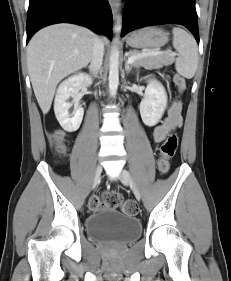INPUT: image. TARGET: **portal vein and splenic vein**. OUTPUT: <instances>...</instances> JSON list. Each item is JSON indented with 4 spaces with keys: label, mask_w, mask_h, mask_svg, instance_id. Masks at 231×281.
<instances>
[{
    "label": "portal vein and splenic vein",
    "mask_w": 231,
    "mask_h": 281,
    "mask_svg": "<svg viewBox=\"0 0 231 281\" xmlns=\"http://www.w3.org/2000/svg\"><path fill=\"white\" fill-rule=\"evenodd\" d=\"M163 52L162 51H148V52H144V53H141V54H138V55H135V56H131L128 58V63L129 64H132L134 63L137 59H140V58H143V57H148V56H156V55H160L162 54ZM168 54L172 55V56H175L176 53L174 52H170V51H167Z\"/></svg>",
    "instance_id": "obj_1"
}]
</instances>
